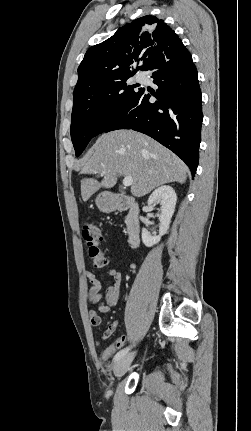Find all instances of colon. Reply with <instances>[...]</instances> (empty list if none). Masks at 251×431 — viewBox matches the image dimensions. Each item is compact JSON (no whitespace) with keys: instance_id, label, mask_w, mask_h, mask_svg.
<instances>
[{"instance_id":"colon-1","label":"colon","mask_w":251,"mask_h":431,"mask_svg":"<svg viewBox=\"0 0 251 431\" xmlns=\"http://www.w3.org/2000/svg\"><path fill=\"white\" fill-rule=\"evenodd\" d=\"M82 236L88 246V254L93 265L97 268L105 267L108 264L106 252L102 249L103 236L98 226L86 223L82 230ZM126 336L118 337L112 344L107 345V351L103 352L104 364H109L116 352L124 349Z\"/></svg>"}]
</instances>
